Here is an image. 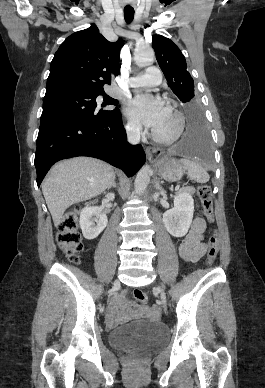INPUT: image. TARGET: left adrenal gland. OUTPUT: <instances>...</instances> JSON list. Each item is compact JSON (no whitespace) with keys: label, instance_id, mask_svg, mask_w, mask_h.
<instances>
[{"label":"left adrenal gland","instance_id":"obj_1","mask_svg":"<svg viewBox=\"0 0 265 388\" xmlns=\"http://www.w3.org/2000/svg\"><path fill=\"white\" fill-rule=\"evenodd\" d=\"M160 180H157L155 188H158V190H161V186L159 184Z\"/></svg>","mask_w":265,"mask_h":388}]
</instances>
